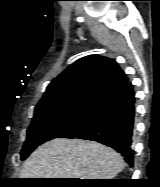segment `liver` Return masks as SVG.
<instances>
[{
    "mask_svg": "<svg viewBox=\"0 0 160 187\" xmlns=\"http://www.w3.org/2000/svg\"><path fill=\"white\" fill-rule=\"evenodd\" d=\"M124 166L120 154L98 142L55 138L28 157L21 178L113 179Z\"/></svg>",
    "mask_w": 160,
    "mask_h": 187,
    "instance_id": "liver-1",
    "label": "liver"
}]
</instances>
